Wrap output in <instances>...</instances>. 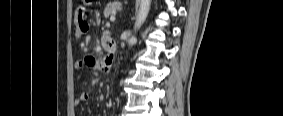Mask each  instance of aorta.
<instances>
[{"label":"aorta","mask_w":283,"mask_h":116,"mask_svg":"<svg viewBox=\"0 0 283 116\" xmlns=\"http://www.w3.org/2000/svg\"><path fill=\"white\" fill-rule=\"evenodd\" d=\"M150 4H151V0H140V7L134 25L135 30H138L141 27V25L145 22L147 15L149 13ZM136 42L137 39L135 36H132L128 41L130 46L135 45Z\"/></svg>","instance_id":"762f6f07"}]
</instances>
